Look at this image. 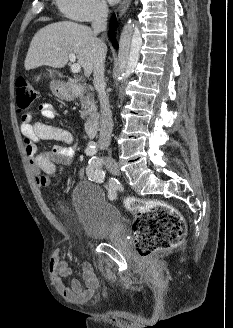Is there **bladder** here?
<instances>
[{"label":"bladder","instance_id":"bladder-1","mask_svg":"<svg viewBox=\"0 0 233 328\" xmlns=\"http://www.w3.org/2000/svg\"><path fill=\"white\" fill-rule=\"evenodd\" d=\"M71 206L76 222L91 239H106L121 227L120 212L91 182H79L71 193Z\"/></svg>","mask_w":233,"mask_h":328}]
</instances>
